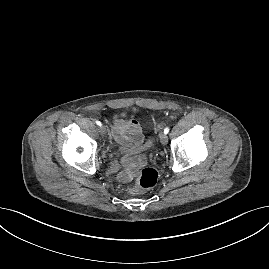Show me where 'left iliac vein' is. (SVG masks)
<instances>
[{
	"label": "left iliac vein",
	"instance_id": "4c4485c4",
	"mask_svg": "<svg viewBox=\"0 0 269 269\" xmlns=\"http://www.w3.org/2000/svg\"><path fill=\"white\" fill-rule=\"evenodd\" d=\"M159 138H160V141L163 145H166L167 142H168V137L167 135L163 132V133H160L159 135Z\"/></svg>",
	"mask_w": 269,
	"mask_h": 269
}]
</instances>
